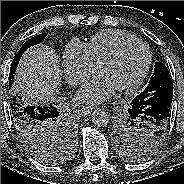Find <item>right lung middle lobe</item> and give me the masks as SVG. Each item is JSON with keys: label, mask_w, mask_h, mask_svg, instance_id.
<instances>
[{"label": "right lung middle lobe", "mask_w": 184, "mask_h": 184, "mask_svg": "<svg viewBox=\"0 0 184 184\" xmlns=\"http://www.w3.org/2000/svg\"><path fill=\"white\" fill-rule=\"evenodd\" d=\"M45 36L39 34L22 45L11 64L9 85L13 83V74L22 54L29 47L41 43ZM10 101L16 129L27 150L42 163L58 162L60 157L57 150L72 147L74 143V133L68 126L64 113L60 109H54L47 113L39 112L37 115L32 111H37L38 106L25 102L20 96H13ZM28 106L34 108L30 109Z\"/></svg>", "instance_id": "right-lung-middle-lobe-1"}]
</instances>
